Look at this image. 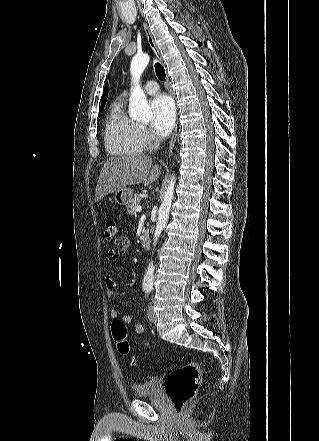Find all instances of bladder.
<instances>
[{"mask_svg":"<svg viewBox=\"0 0 319 441\" xmlns=\"http://www.w3.org/2000/svg\"><path fill=\"white\" fill-rule=\"evenodd\" d=\"M132 390L138 398L154 397L158 394V378L151 377L146 381L134 384Z\"/></svg>","mask_w":319,"mask_h":441,"instance_id":"obj_1","label":"bladder"}]
</instances>
